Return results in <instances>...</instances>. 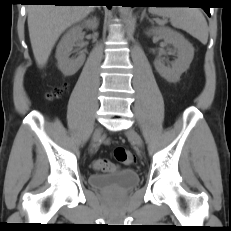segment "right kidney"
Wrapping results in <instances>:
<instances>
[{
    "instance_id": "obj_1",
    "label": "right kidney",
    "mask_w": 231,
    "mask_h": 231,
    "mask_svg": "<svg viewBox=\"0 0 231 231\" xmlns=\"http://www.w3.org/2000/svg\"><path fill=\"white\" fill-rule=\"evenodd\" d=\"M98 25L96 18L88 19L82 25L72 27L61 39L56 50V58L59 69L65 76L74 75L85 61L83 52H78L77 56L70 58L73 48L80 45L83 28L96 29Z\"/></svg>"
}]
</instances>
